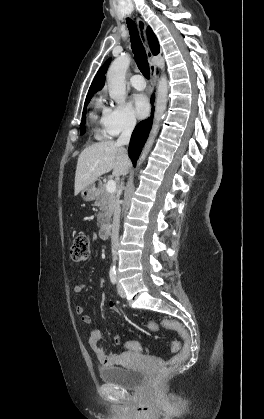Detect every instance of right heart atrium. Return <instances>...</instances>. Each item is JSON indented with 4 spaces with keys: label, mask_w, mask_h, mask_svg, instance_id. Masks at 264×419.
Listing matches in <instances>:
<instances>
[{
    "label": "right heart atrium",
    "mask_w": 264,
    "mask_h": 419,
    "mask_svg": "<svg viewBox=\"0 0 264 419\" xmlns=\"http://www.w3.org/2000/svg\"><path fill=\"white\" fill-rule=\"evenodd\" d=\"M136 124V117L128 104L113 105L103 115V126L109 136L131 132Z\"/></svg>",
    "instance_id": "1"
}]
</instances>
